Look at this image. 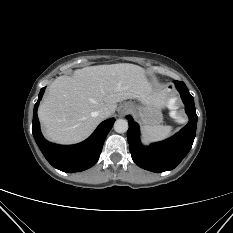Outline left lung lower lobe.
I'll return each mask as SVG.
<instances>
[{
    "label": "left lung lower lobe",
    "mask_w": 233,
    "mask_h": 233,
    "mask_svg": "<svg viewBox=\"0 0 233 233\" xmlns=\"http://www.w3.org/2000/svg\"><path fill=\"white\" fill-rule=\"evenodd\" d=\"M189 116L188 124L173 137L149 147L143 146L139 138V126L130 116L127 139L133 161L143 169L152 172H164L174 169L190 151L197 126L194 99L184 82L174 81Z\"/></svg>",
    "instance_id": "1"
}]
</instances>
